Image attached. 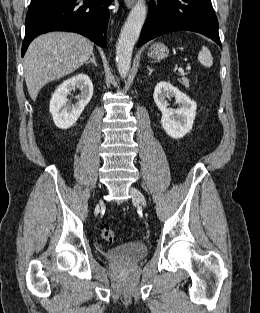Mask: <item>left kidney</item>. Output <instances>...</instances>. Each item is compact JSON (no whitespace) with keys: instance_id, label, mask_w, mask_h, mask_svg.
<instances>
[{"instance_id":"obj_1","label":"left kidney","mask_w":260,"mask_h":313,"mask_svg":"<svg viewBox=\"0 0 260 313\" xmlns=\"http://www.w3.org/2000/svg\"><path fill=\"white\" fill-rule=\"evenodd\" d=\"M154 101L162 112L161 125L172 138L184 137L192 129L196 116V103L170 83L161 81L154 89ZM174 97L178 109L168 108L167 99Z\"/></svg>"}]
</instances>
